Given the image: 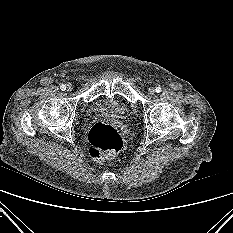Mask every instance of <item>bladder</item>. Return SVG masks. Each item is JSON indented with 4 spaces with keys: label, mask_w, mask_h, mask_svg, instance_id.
Segmentation results:
<instances>
[{
    "label": "bladder",
    "mask_w": 233,
    "mask_h": 233,
    "mask_svg": "<svg viewBox=\"0 0 233 233\" xmlns=\"http://www.w3.org/2000/svg\"><path fill=\"white\" fill-rule=\"evenodd\" d=\"M87 113L88 115L124 119L129 114V107L121 100H100L92 104Z\"/></svg>",
    "instance_id": "31cf9c89"
}]
</instances>
